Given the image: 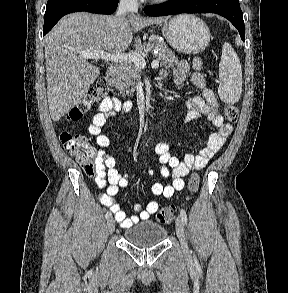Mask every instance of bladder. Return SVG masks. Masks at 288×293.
<instances>
[{
	"label": "bladder",
	"mask_w": 288,
	"mask_h": 293,
	"mask_svg": "<svg viewBox=\"0 0 288 293\" xmlns=\"http://www.w3.org/2000/svg\"><path fill=\"white\" fill-rule=\"evenodd\" d=\"M166 236V228L151 220L137 223L124 231L128 243L143 248L162 243Z\"/></svg>",
	"instance_id": "bladder-1"
}]
</instances>
